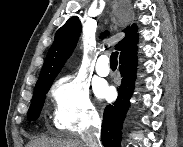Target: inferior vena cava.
Returning a JSON list of instances; mask_svg holds the SVG:
<instances>
[{
  "mask_svg": "<svg viewBox=\"0 0 183 147\" xmlns=\"http://www.w3.org/2000/svg\"><path fill=\"white\" fill-rule=\"evenodd\" d=\"M101 120L98 115L92 118L91 126L81 135L86 147H100Z\"/></svg>",
  "mask_w": 183,
  "mask_h": 147,
  "instance_id": "602c4592",
  "label": "inferior vena cava"
}]
</instances>
